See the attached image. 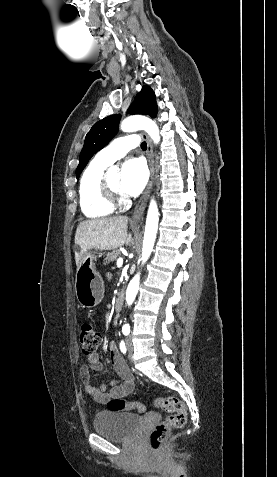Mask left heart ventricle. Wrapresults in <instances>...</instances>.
I'll return each mask as SVG.
<instances>
[{
    "instance_id": "1",
    "label": "left heart ventricle",
    "mask_w": 277,
    "mask_h": 477,
    "mask_svg": "<svg viewBox=\"0 0 277 477\" xmlns=\"http://www.w3.org/2000/svg\"><path fill=\"white\" fill-rule=\"evenodd\" d=\"M108 179H109V182H110L111 186L115 190L120 191V183H121L120 174H109Z\"/></svg>"
}]
</instances>
